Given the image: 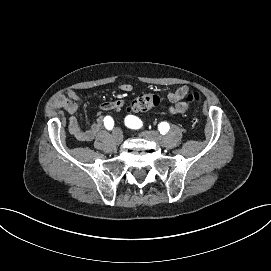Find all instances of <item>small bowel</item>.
I'll return each instance as SVG.
<instances>
[{
  "label": "small bowel",
  "instance_id": "obj_1",
  "mask_svg": "<svg viewBox=\"0 0 271 271\" xmlns=\"http://www.w3.org/2000/svg\"><path fill=\"white\" fill-rule=\"evenodd\" d=\"M119 90L122 92L132 91V85L123 83L119 86ZM189 88L187 86H181L168 94V100L171 106L168 108V113L182 114L188 107L189 102L187 96L189 95ZM80 98L74 91H69L67 95H61L55 100V106L64 110L69 115V128L74 136L80 141H91L95 138L104 124V115H100L96 121L88 128L82 129L76 118V113L79 111ZM125 105L124 99H117L113 101H105L99 105L101 111H109L120 109Z\"/></svg>",
  "mask_w": 271,
  "mask_h": 271
}]
</instances>
